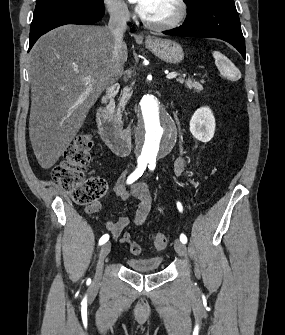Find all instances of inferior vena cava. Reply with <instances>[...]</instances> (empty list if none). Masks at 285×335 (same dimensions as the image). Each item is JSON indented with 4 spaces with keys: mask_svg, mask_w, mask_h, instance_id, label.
Instances as JSON below:
<instances>
[{
    "mask_svg": "<svg viewBox=\"0 0 285 335\" xmlns=\"http://www.w3.org/2000/svg\"><path fill=\"white\" fill-rule=\"evenodd\" d=\"M107 8L110 14L108 30L114 36L115 52L118 54L122 48L124 32H126L127 22L130 20V12L122 0H109Z\"/></svg>",
    "mask_w": 285,
    "mask_h": 335,
    "instance_id": "602c4592",
    "label": "inferior vena cava"
}]
</instances>
